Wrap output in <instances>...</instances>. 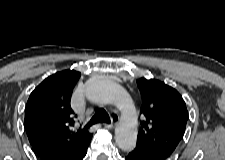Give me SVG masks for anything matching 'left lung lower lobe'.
Here are the masks:
<instances>
[{
    "label": "left lung lower lobe",
    "mask_w": 225,
    "mask_h": 160,
    "mask_svg": "<svg viewBox=\"0 0 225 160\" xmlns=\"http://www.w3.org/2000/svg\"><path fill=\"white\" fill-rule=\"evenodd\" d=\"M126 160H156V159L134 149L133 151L127 154Z\"/></svg>",
    "instance_id": "left-lung-lower-lobe-1"
}]
</instances>
